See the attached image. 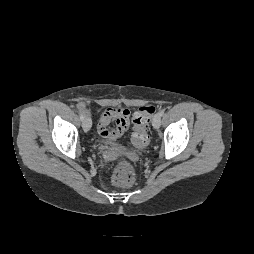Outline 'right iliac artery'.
Listing matches in <instances>:
<instances>
[{
  "instance_id": "obj_1",
  "label": "right iliac artery",
  "mask_w": 254,
  "mask_h": 254,
  "mask_svg": "<svg viewBox=\"0 0 254 254\" xmlns=\"http://www.w3.org/2000/svg\"><path fill=\"white\" fill-rule=\"evenodd\" d=\"M80 115V119L83 120L84 116L82 113L79 114Z\"/></svg>"
}]
</instances>
